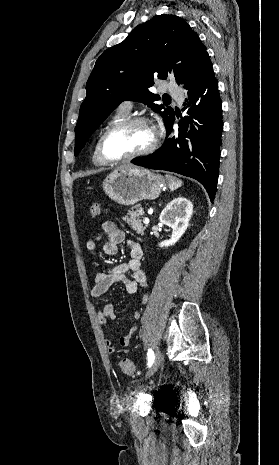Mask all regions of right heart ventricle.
Here are the masks:
<instances>
[{
    "label": "right heart ventricle",
    "instance_id": "e07e8e85",
    "mask_svg": "<svg viewBox=\"0 0 279 465\" xmlns=\"http://www.w3.org/2000/svg\"><path fill=\"white\" fill-rule=\"evenodd\" d=\"M128 114L129 112L128 111H125L123 110L122 108H118L116 110V112L107 120V122L105 123V125L103 126L101 132L99 133V136L97 138V141H96V144L94 146V150H93V155H92V161L95 165L97 166H103L105 165V163H103L101 161V159L99 158V155H98V151H97V147H98V142H99V139L101 137V135L103 134V132L108 128L110 127L111 125L125 119L128 117Z\"/></svg>",
    "mask_w": 279,
    "mask_h": 465
}]
</instances>
